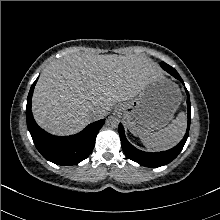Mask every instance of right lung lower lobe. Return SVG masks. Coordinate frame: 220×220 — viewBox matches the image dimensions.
I'll list each match as a JSON object with an SVG mask.
<instances>
[{
	"label": "right lung lower lobe",
	"mask_w": 220,
	"mask_h": 220,
	"mask_svg": "<svg viewBox=\"0 0 220 220\" xmlns=\"http://www.w3.org/2000/svg\"><path fill=\"white\" fill-rule=\"evenodd\" d=\"M32 84L27 98L26 119L33 142L48 161L58 165H75L86 159L92 152L97 133L104 124V119L88 125L78 134L58 137L41 129L35 122L31 111V100L35 84Z\"/></svg>",
	"instance_id": "1"
}]
</instances>
